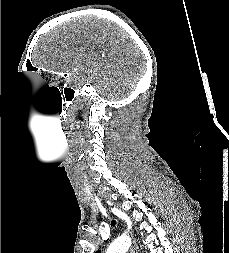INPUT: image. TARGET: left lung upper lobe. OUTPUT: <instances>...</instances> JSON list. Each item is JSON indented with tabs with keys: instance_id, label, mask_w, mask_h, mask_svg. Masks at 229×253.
<instances>
[{
	"instance_id": "left-lung-upper-lobe-1",
	"label": "left lung upper lobe",
	"mask_w": 229,
	"mask_h": 253,
	"mask_svg": "<svg viewBox=\"0 0 229 253\" xmlns=\"http://www.w3.org/2000/svg\"><path fill=\"white\" fill-rule=\"evenodd\" d=\"M115 224V221H112V225ZM95 253H101V250L96 251Z\"/></svg>"
}]
</instances>
